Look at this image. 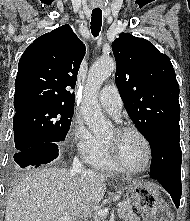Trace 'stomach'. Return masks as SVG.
I'll return each instance as SVG.
<instances>
[{
	"instance_id": "1",
	"label": "stomach",
	"mask_w": 190,
	"mask_h": 221,
	"mask_svg": "<svg viewBox=\"0 0 190 221\" xmlns=\"http://www.w3.org/2000/svg\"><path fill=\"white\" fill-rule=\"evenodd\" d=\"M124 189L133 199L129 200L133 217H144L135 218V221H171L157 186L148 182H132Z\"/></svg>"
}]
</instances>
